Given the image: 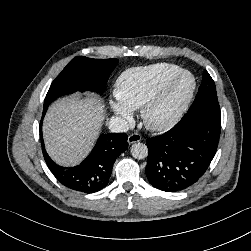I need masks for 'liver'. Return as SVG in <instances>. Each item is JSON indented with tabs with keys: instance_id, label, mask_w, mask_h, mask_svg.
Here are the masks:
<instances>
[{
	"instance_id": "1",
	"label": "liver",
	"mask_w": 251,
	"mask_h": 251,
	"mask_svg": "<svg viewBox=\"0 0 251 251\" xmlns=\"http://www.w3.org/2000/svg\"><path fill=\"white\" fill-rule=\"evenodd\" d=\"M105 105L97 97H66L54 102L43 123L49 156L63 166L80 163L100 132Z\"/></svg>"
}]
</instances>
